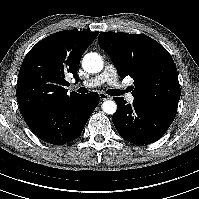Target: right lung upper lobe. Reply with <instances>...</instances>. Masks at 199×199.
<instances>
[{
  "instance_id": "right-lung-upper-lobe-1",
  "label": "right lung upper lobe",
  "mask_w": 199,
  "mask_h": 199,
  "mask_svg": "<svg viewBox=\"0 0 199 199\" xmlns=\"http://www.w3.org/2000/svg\"><path fill=\"white\" fill-rule=\"evenodd\" d=\"M98 32L60 31L39 41L26 55L17 81V100L23 117L43 112L79 94H67V75L76 73L84 51Z\"/></svg>"
}]
</instances>
